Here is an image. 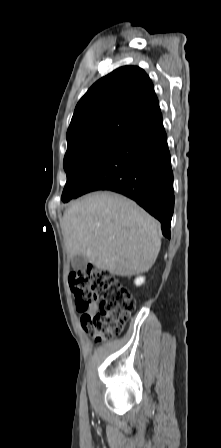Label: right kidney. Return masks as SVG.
<instances>
[{
	"mask_svg": "<svg viewBox=\"0 0 221 448\" xmlns=\"http://www.w3.org/2000/svg\"><path fill=\"white\" fill-rule=\"evenodd\" d=\"M144 281H145L144 277H137L135 279V284H136V286H140V285H142L144 283Z\"/></svg>",
	"mask_w": 221,
	"mask_h": 448,
	"instance_id": "1",
	"label": "right kidney"
}]
</instances>
